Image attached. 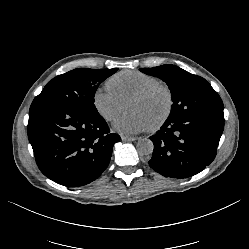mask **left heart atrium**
<instances>
[{"label": "left heart atrium", "instance_id": "39dd6f15", "mask_svg": "<svg viewBox=\"0 0 249 249\" xmlns=\"http://www.w3.org/2000/svg\"><path fill=\"white\" fill-rule=\"evenodd\" d=\"M114 131L123 134H137L147 131L149 125L142 115L138 113H129L117 116L112 124Z\"/></svg>", "mask_w": 249, "mask_h": 249}]
</instances>
